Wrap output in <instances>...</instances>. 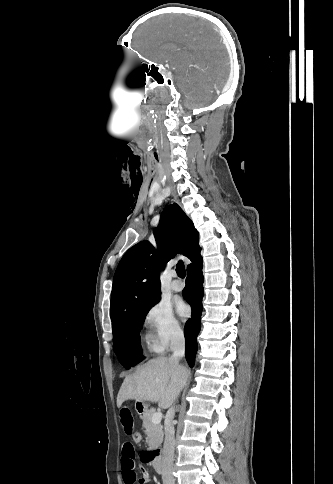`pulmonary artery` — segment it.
Masks as SVG:
<instances>
[{
    "instance_id": "obj_1",
    "label": "pulmonary artery",
    "mask_w": 333,
    "mask_h": 484,
    "mask_svg": "<svg viewBox=\"0 0 333 484\" xmlns=\"http://www.w3.org/2000/svg\"><path fill=\"white\" fill-rule=\"evenodd\" d=\"M174 280L171 283L172 290L179 292L184 288V284L181 280L177 278V275L174 273Z\"/></svg>"
}]
</instances>
